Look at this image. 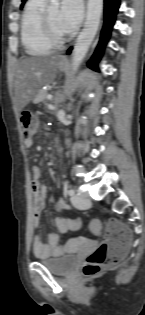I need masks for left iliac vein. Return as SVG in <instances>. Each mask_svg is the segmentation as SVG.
<instances>
[{
  "label": "left iliac vein",
  "instance_id": "1",
  "mask_svg": "<svg viewBox=\"0 0 145 315\" xmlns=\"http://www.w3.org/2000/svg\"><path fill=\"white\" fill-rule=\"evenodd\" d=\"M71 201L74 204L75 207L80 209L88 208L91 205V200L89 196L78 193L71 197Z\"/></svg>",
  "mask_w": 145,
  "mask_h": 315
}]
</instances>
